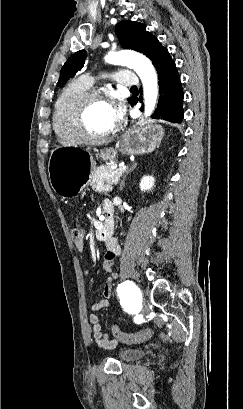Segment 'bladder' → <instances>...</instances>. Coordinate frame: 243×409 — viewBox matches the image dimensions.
I'll return each mask as SVG.
<instances>
[{
	"instance_id": "bladder-1",
	"label": "bladder",
	"mask_w": 243,
	"mask_h": 409,
	"mask_svg": "<svg viewBox=\"0 0 243 409\" xmlns=\"http://www.w3.org/2000/svg\"><path fill=\"white\" fill-rule=\"evenodd\" d=\"M145 354V351L140 348H126L118 352V358L122 362H132L138 360Z\"/></svg>"
}]
</instances>
